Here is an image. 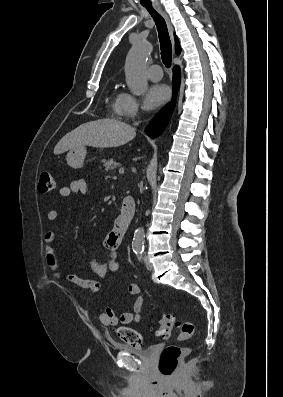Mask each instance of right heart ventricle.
I'll list each match as a JSON object with an SVG mask.
<instances>
[{"instance_id": "obj_1", "label": "right heart ventricle", "mask_w": 283, "mask_h": 397, "mask_svg": "<svg viewBox=\"0 0 283 397\" xmlns=\"http://www.w3.org/2000/svg\"><path fill=\"white\" fill-rule=\"evenodd\" d=\"M121 94L122 93H118V92H114L113 93V96H112V107H113L114 111H115V108L117 106V103H118V100H119Z\"/></svg>"}]
</instances>
